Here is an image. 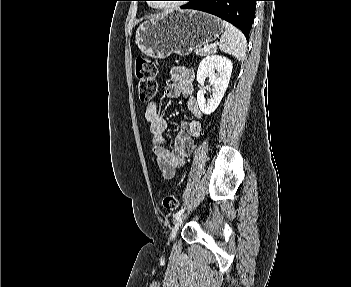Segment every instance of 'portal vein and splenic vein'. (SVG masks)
<instances>
[{
  "label": "portal vein and splenic vein",
  "mask_w": 351,
  "mask_h": 287,
  "mask_svg": "<svg viewBox=\"0 0 351 287\" xmlns=\"http://www.w3.org/2000/svg\"><path fill=\"white\" fill-rule=\"evenodd\" d=\"M204 50H208V46H204Z\"/></svg>",
  "instance_id": "portal-vein-and-splenic-vein-1"
}]
</instances>
